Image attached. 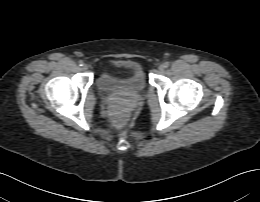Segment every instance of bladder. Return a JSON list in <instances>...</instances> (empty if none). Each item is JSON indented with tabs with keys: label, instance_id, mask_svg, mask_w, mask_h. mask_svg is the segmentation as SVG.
Returning <instances> with one entry per match:
<instances>
[{
	"label": "bladder",
	"instance_id": "obj_1",
	"mask_svg": "<svg viewBox=\"0 0 260 202\" xmlns=\"http://www.w3.org/2000/svg\"><path fill=\"white\" fill-rule=\"evenodd\" d=\"M119 66L128 71L124 76L116 75L111 68L100 72L96 85L102 92H124L140 95L147 89V81L142 67L135 62H122Z\"/></svg>",
	"mask_w": 260,
	"mask_h": 202
}]
</instances>
